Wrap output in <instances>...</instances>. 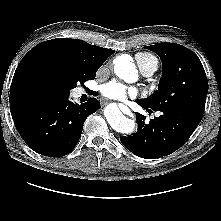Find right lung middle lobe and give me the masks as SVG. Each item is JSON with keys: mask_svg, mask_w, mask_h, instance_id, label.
Returning <instances> with one entry per match:
<instances>
[{"mask_svg": "<svg viewBox=\"0 0 221 221\" xmlns=\"http://www.w3.org/2000/svg\"><path fill=\"white\" fill-rule=\"evenodd\" d=\"M96 73H87L71 64H63L41 70L39 78L45 89L59 98L67 97L80 82L93 80Z\"/></svg>", "mask_w": 221, "mask_h": 221, "instance_id": "1", "label": "right lung middle lobe"}]
</instances>
